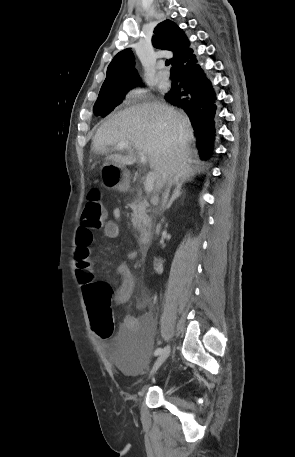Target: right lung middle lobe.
<instances>
[{
  "mask_svg": "<svg viewBox=\"0 0 295 457\" xmlns=\"http://www.w3.org/2000/svg\"><path fill=\"white\" fill-rule=\"evenodd\" d=\"M138 83L127 84L112 90L101 91L93 108L94 114L102 117L108 115L116 106L122 103L126 93Z\"/></svg>",
  "mask_w": 295,
  "mask_h": 457,
  "instance_id": "obj_1",
  "label": "right lung middle lobe"
}]
</instances>
